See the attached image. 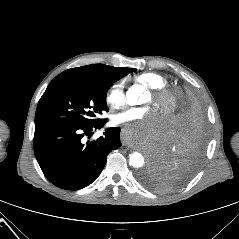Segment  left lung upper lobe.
<instances>
[{"instance_id": "5c2ea615", "label": "left lung upper lobe", "mask_w": 239, "mask_h": 239, "mask_svg": "<svg viewBox=\"0 0 239 239\" xmlns=\"http://www.w3.org/2000/svg\"><path fill=\"white\" fill-rule=\"evenodd\" d=\"M187 96L196 97L198 94L191 87L183 86L180 98ZM141 180L147 187L157 191H165L169 188L167 181H165L163 177L157 175V173L149 169L141 176Z\"/></svg>"}]
</instances>
